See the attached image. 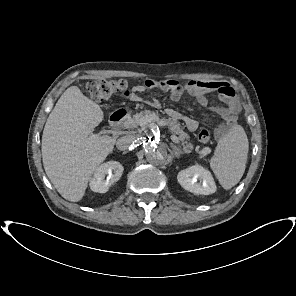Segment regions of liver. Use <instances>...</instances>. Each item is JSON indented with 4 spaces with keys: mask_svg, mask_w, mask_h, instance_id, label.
Returning <instances> with one entry per match:
<instances>
[{
    "mask_svg": "<svg viewBox=\"0 0 296 296\" xmlns=\"http://www.w3.org/2000/svg\"><path fill=\"white\" fill-rule=\"evenodd\" d=\"M103 118L100 105L71 86L46 121L42 135L44 169L66 200L83 198L93 172L114 148L115 138L92 133Z\"/></svg>",
    "mask_w": 296,
    "mask_h": 296,
    "instance_id": "1",
    "label": "liver"
}]
</instances>
